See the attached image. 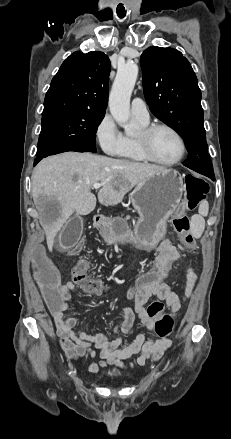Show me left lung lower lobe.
<instances>
[{
  "instance_id": "left-lung-lower-lobe-1",
  "label": "left lung lower lobe",
  "mask_w": 231,
  "mask_h": 439,
  "mask_svg": "<svg viewBox=\"0 0 231 439\" xmlns=\"http://www.w3.org/2000/svg\"><path fill=\"white\" fill-rule=\"evenodd\" d=\"M211 179L214 180L215 179L214 176H212Z\"/></svg>"
}]
</instances>
